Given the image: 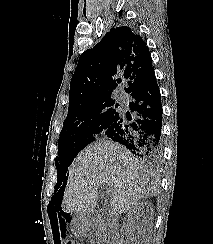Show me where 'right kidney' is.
Returning <instances> with one entry per match:
<instances>
[{
  "instance_id": "right-kidney-1",
  "label": "right kidney",
  "mask_w": 213,
  "mask_h": 244,
  "mask_svg": "<svg viewBox=\"0 0 213 244\" xmlns=\"http://www.w3.org/2000/svg\"><path fill=\"white\" fill-rule=\"evenodd\" d=\"M145 207L149 208V207H151V204L145 200L139 201L138 203L135 204L133 209L131 211H129L128 217L137 215L139 213V211L143 210Z\"/></svg>"
}]
</instances>
